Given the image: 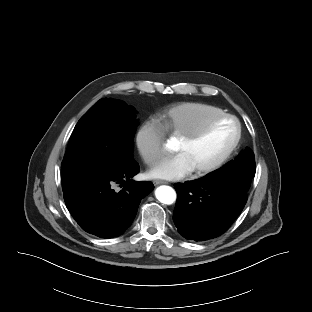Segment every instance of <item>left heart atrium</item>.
Listing matches in <instances>:
<instances>
[{
    "label": "left heart atrium",
    "mask_w": 312,
    "mask_h": 312,
    "mask_svg": "<svg viewBox=\"0 0 312 312\" xmlns=\"http://www.w3.org/2000/svg\"><path fill=\"white\" fill-rule=\"evenodd\" d=\"M194 171L187 157L179 153L174 157L167 158L157 164L150 172L149 176L157 179L179 180Z\"/></svg>",
    "instance_id": "left-heart-atrium-1"
}]
</instances>
